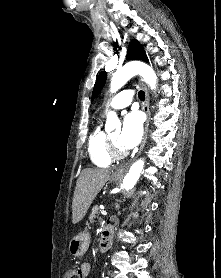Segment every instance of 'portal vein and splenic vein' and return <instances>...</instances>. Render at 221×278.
Segmentation results:
<instances>
[{
  "label": "portal vein and splenic vein",
  "mask_w": 221,
  "mask_h": 278,
  "mask_svg": "<svg viewBox=\"0 0 221 278\" xmlns=\"http://www.w3.org/2000/svg\"><path fill=\"white\" fill-rule=\"evenodd\" d=\"M101 214L102 215H107V211L106 210H101Z\"/></svg>",
  "instance_id": "1"
}]
</instances>
